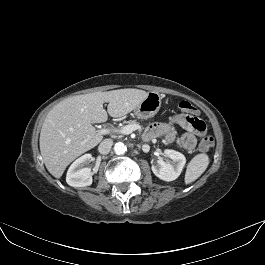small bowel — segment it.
Here are the masks:
<instances>
[{
	"mask_svg": "<svg viewBox=\"0 0 265 265\" xmlns=\"http://www.w3.org/2000/svg\"><path fill=\"white\" fill-rule=\"evenodd\" d=\"M174 125H179L186 132L178 135ZM206 132L205 123L196 116L178 114L171 118L168 123H155L146 131V138L153 139L163 136L168 143L176 142L185 150H192L196 145V136H203Z\"/></svg>",
	"mask_w": 265,
	"mask_h": 265,
	"instance_id": "c3829d8e",
	"label": "small bowel"
}]
</instances>
